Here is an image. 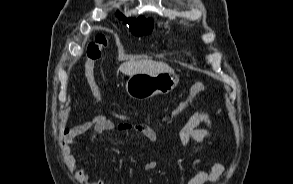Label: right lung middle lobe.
Returning <instances> with one entry per match:
<instances>
[{"label":"right lung middle lobe","mask_w":293,"mask_h":184,"mask_svg":"<svg viewBox=\"0 0 293 184\" xmlns=\"http://www.w3.org/2000/svg\"><path fill=\"white\" fill-rule=\"evenodd\" d=\"M129 29L136 36L148 34L152 30V26H142L138 24H129Z\"/></svg>","instance_id":"dd1d6c3e"}]
</instances>
